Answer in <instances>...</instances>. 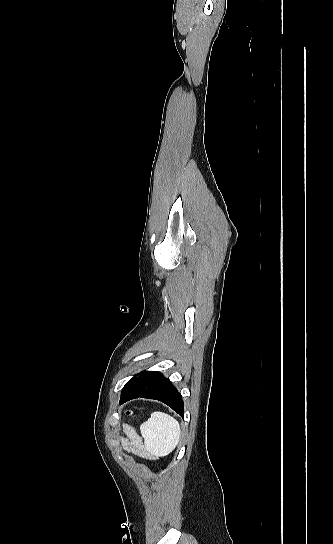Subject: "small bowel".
<instances>
[{
    "mask_svg": "<svg viewBox=\"0 0 333 544\" xmlns=\"http://www.w3.org/2000/svg\"><path fill=\"white\" fill-rule=\"evenodd\" d=\"M126 434L128 436L126 446L129 451L142 458L149 459L152 457L143 443L142 438L134 429L130 427L126 428Z\"/></svg>",
    "mask_w": 333,
    "mask_h": 544,
    "instance_id": "c3829d8e",
    "label": "small bowel"
}]
</instances>
